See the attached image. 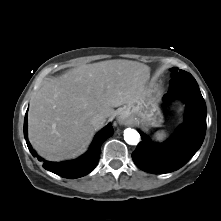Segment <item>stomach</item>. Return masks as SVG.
<instances>
[{
    "instance_id": "stomach-1",
    "label": "stomach",
    "mask_w": 221,
    "mask_h": 221,
    "mask_svg": "<svg viewBox=\"0 0 221 221\" xmlns=\"http://www.w3.org/2000/svg\"><path fill=\"white\" fill-rule=\"evenodd\" d=\"M123 112L146 126L157 127L162 123L161 112L150 95H142L138 100L125 106Z\"/></svg>"
}]
</instances>
